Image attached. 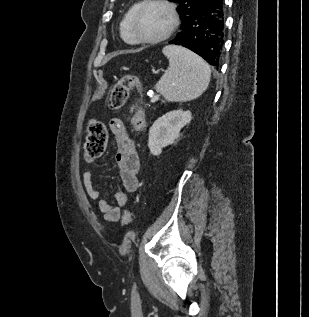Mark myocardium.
Instances as JSON below:
<instances>
[{
	"mask_svg": "<svg viewBox=\"0 0 309 317\" xmlns=\"http://www.w3.org/2000/svg\"><path fill=\"white\" fill-rule=\"evenodd\" d=\"M151 5H160L165 7L171 17V23L168 27V29L160 36L155 37V38H145L143 37L137 28V23H138V19L140 14L142 13V11ZM180 19H179V15L176 9V6L174 5V3H172L169 0H144L142 1L136 8L132 20H131V28H132V33L136 39L137 42L140 43H145V44H156L159 42H162L166 39H168L173 33L174 31L177 29L178 25H179Z\"/></svg>",
	"mask_w": 309,
	"mask_h": 317,
	"instance_id": "obj_1",
	"label": "myocardium"
}]
</instances>
